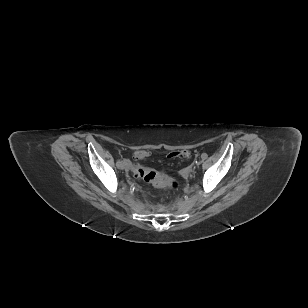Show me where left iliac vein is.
Segmentation results:
<instances>
[{
	"instance_id": "1",
	"label": "left iliac vein",
	"mask_w": 308,
	"mask_h": 308,
	"mask_svg": "<svg viewBox=\"0 0 308 308\" xmlns=\"http://www.w3.org/2000/svg\"><path fill=\"white\" fill-rule=\"evenodd\" d=\"M201 163H202L201 160H198V161L196 162L197 165H200Z\"/></svg>"
}]
</instances>
